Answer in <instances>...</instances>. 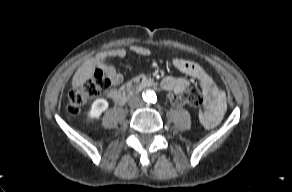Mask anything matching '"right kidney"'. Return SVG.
<instances>
[{
    "label": "right kidney",
    "mask_w": 292,
    "mask_h": 192,
    "mask_svg": "<svg viewBox=\"0 0 292 192\" xmlns=\"http://www.w3.org/2000/svg\"><path fill=\"white\" fill-rule=\"evenodd\" d=\"M107 108L108 102L105 99L103 98L96 99L91 106L89 117L91 119H98Z\"/></svg>",
    "instance_id": "right-kidney-1"
}]
</instances>
